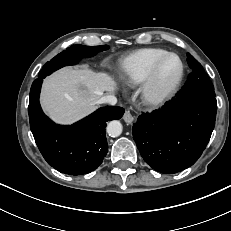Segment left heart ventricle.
Returning a JSON list of instances; mask_svg holds the SVG:
<instances>
[{
	"instance_id": "1",
	"label": "left heart ventricle",
	"mask_w": 231,
	"mask_h": 231,
	"mask_svg": "<svg viewBox=\"0 0 231 231\" xmlns=\"http://www.w3.org/2000/svg\"><path fill=\"white\" fill-rule=\"evenodd\" d=\"M180 71V63L176 57L168 58L160 68L156 80V87L163 89L171 85Z\"/></svg>"
}]
</instances>
